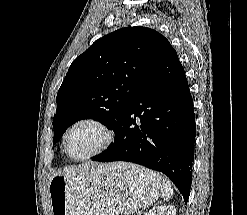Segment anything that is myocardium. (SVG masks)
I'll return each mask as SVG.
<instances>
[{
  "label": "myocardium",
  "instance_id": "myocardium-1",
  "mask_svg": "<svg viewBox=\"0 0 247 215\" xmlns=\"http://www.w3.org/2000/svg\"><path fill=\"white\" fill-rule=\"evenodd\" d=\"M81 124H91L95 126L96 128H98L103 134V141L91 153L85 156H82V157H74L68 152L67 139H68L69 134L72 132V130ZM113 141H114V132L104 121L96 117L87 116V117H82V118L77 119L67 128L63 136L62 144H63V149H64L65 154L70 159L74 161H84V160L97 157L103 152H105L112 145Z\"/></svg>",
  "mask_w": 247,
  "mask_h": 215
}]
</instances>
